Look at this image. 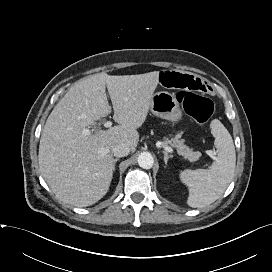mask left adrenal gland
Masks as SVG:
<instances>
[{"instance_id":"a2214340","label":"left adrenal gland","mask_w":272,"mask_h":272,"mask_svg":"<svg viewBox=\"0 0 272 272\" xmlns=\"http://www.w3.org/2000/svg\"><path fill=\"white\" fill-rule=\"evenodd\" d=\"M164 153V162H165V164L167 165V162H168V159L169 158H172V156L171 155H168V153L167 152H163Z\"/></svg>"}]
</instances>
